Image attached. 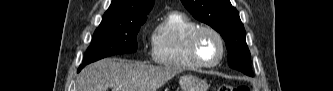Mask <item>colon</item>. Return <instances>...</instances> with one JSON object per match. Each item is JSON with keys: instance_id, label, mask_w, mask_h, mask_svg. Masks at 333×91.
Instances as JSON below:
<instances>
[{"instance_id": "5ec220e1", "label": "colon", "mask_w": 333, "mask_h": 91, "mask_svg": "<svg viewBox=\"0 0 333 91\" xmlns=\"http://www.w3.org/2000/svg\"><path fill=\"white\" fill-rule=\"evenodd\" d=\"M218 91H249V88L246 85H240L238 87H233L231 85H220L217 89Z\"/></svg>"}]
</instances>
